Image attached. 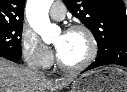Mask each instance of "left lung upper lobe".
Instances as JSON below:
<instances>
[{"label": "left lung upper lobe", "mask_w": 127, "mask_h": 92, "mask_svg": "<svg viewBox=\"0 0 127 92\" xmlns=\"http://www.w3.org/2000/svg\"><path fill=\"white\" fill-rule=\"evenodd\" d=\"M69 11L93 33L98 53L114 43L127 42L123 0H63Z\"/></svg>", "instance_id": "obj_1"}]
</instances>
